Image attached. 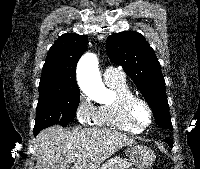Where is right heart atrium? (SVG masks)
Segmentation results:
<instances>
[{
	"mask_svg": "<svg viewBox=\"0 0 200 169\" xmlns=\"http://www.w3.org/2000/svg\"><path fill=\"white\" fill-rule=\"evenodd\" d=\"M96 108L85 95H80L76 104L75 114L79 123L90 124L94 120Z\"/></svg>",
	"mask_w": 200,
	"mask_h": 169,
	"instance_id": "obj_1",
	"label": "right heart atrium"
}]
</instances>
